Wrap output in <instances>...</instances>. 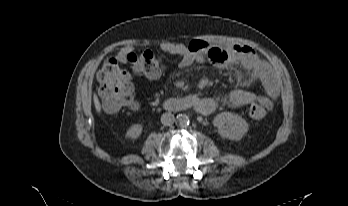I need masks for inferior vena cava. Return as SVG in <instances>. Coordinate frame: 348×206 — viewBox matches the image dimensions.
Listing matches in <instances>:
<instances>
[{
	"label": "inferior vena cava",
	"mask_w": 348,
	"mask_h": 206,
	"mask_svg": "<svg viewBox=\"0 0 348 206\" xmlns=\"http://www.w3.org/2000/svg\"><path fill=\"white\" fill-rule=\"evenodd\" d=\"M173 119H174L173 114H171L170 112H167V113L162 115L161 122L164 125H168V124H170L173 121Z\"/></svg>",
	"instance_id": "obj_1"
}]
</instances>
